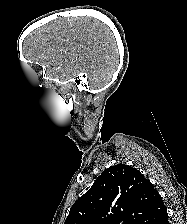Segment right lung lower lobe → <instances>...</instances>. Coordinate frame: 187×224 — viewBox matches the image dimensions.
<instances>
[{
    "mask_svg": "<svg viewBox=\"0 0 187 224\" xmlns=\"http://www.w3.org/2000/svg\"><path fill=\"white\" fill-rule=\"evenodd\" d=\"M155 224H169L167 212Z\"/></svg>",
    "mask_w": 187,
    "mask_h": 224,
    "instance_id": "1",
    "label": "right lung lower lobe"
}]
</instances>
